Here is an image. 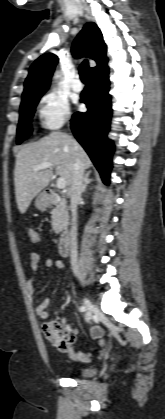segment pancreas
I'll return each instance as SVG.
<instances>
[{"label":"pancreas","instance_id":"cf45deb5","mask_svg":"<svg viewBox=\"0 0 165 419\" xmlns=\"http://www.w3.org/2000/svg\"><path fill=\"white\" fill-rule=\"evenodd\" d=\"M52 216V228L56 234L60 233L68 218L67 206L64 199L59 198L56 200V206L51 212Z\"/></svg>","mask_w":165,"mask_h":419}]
</instances>
